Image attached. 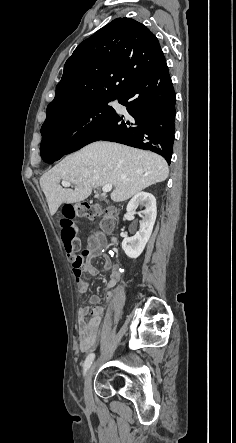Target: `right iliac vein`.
<instances>
[{
	"label": "right iliac vein",
	"mask_w": 236,
	"mask_h": 443,
	"mask_svg": "<svg viewBox=\"0 0 236 443\" xmlns=\"http://www.w3.org/2000/svg\"><path fill=\"white\" fill-rule=\"evenodd\" d=\"M108 353H105L104 356H106ZM96 363L92 365V367L89 369L88 374L84 381V395L88 399L92 395V378L93 374L96 368Z\"/></svg>",
	"instance_id": "1"
}]
</instances>
